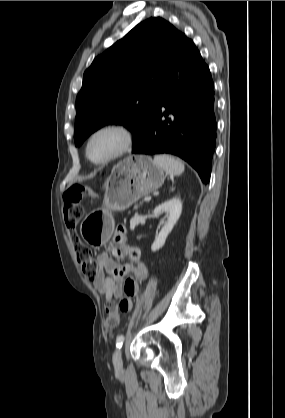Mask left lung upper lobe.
I'll return each instance as SVG.
<instances>
[{
  "label": "left lung upper lobe",
  "mask_w": 285,
  "mask_h": 418,
  "mask_svg": "<svg viewBox=\"0 0 285 418\" xmlns=\"http://www.w3.org/2000/svg\"><path fill=\"white\" fill-rule=\"evenodd\" d=\"M184 36L166 20L151 17L94 59L76 98V146L106 124L128 128L133 146L141 140Z\"/></svg>",
  "instance_id": "left-lung-upper-lobe-1"
}]
</instances>
